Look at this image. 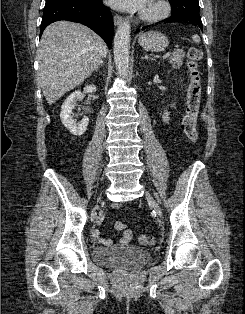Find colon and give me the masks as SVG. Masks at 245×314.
<instances>
[{
  "label": "colon",
  "mask_w": 245,
  "mask_h": 314,
  "mask_svg": "<svg viewBox=\"0 0 245 314\" xmlns=\"http://www.w3.org/2000/svg\"><path fill=\"white\" fill-rule=\"evenodd\" d=\"M202 58L200 49L192 47L187 52V68L190 73V85L187 93L186 113L182 120V129L187 138L192 142H197L199 139L196 129V119L199 111L201 97V79L198 70L199 61ZM122 223L120 227H123ZM138 242L144 246H152L155 244V239L150 235H141Z\"/></svg>",
  "instance_id": "obj_1"
}]
</instances>
